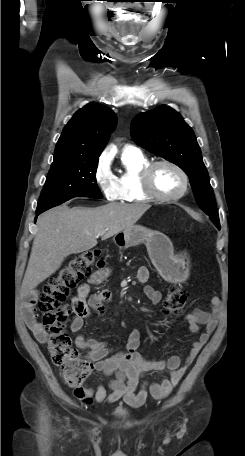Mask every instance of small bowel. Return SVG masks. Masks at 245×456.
Returning a JSON list of instances; mask_svg holds the SVG:
<instances>
[{
    "mask_svg": "<svg viewBox=\"0 0 245 456\" xmlns=\"http://www.w3.org/2000/svg\"><path fill=\"white\" fill-rule=\"evenodd\" d=\"M109 272L107 267H100L86 283L78 287L72 302L74 316L69 324L72 332L76 333L82 329L85 319L89 317L92 311L100 314L104 312L105 304L111 300L110 291L101 289L92 293L91 289L93 286L102 283L108 277ZM148 278V269L146 267L139 268L137 271L138 281L145 283ZM143 291L153 304L161 302L162 293L152 286L146 285ZM36 301L37 294H30L24 303L22 315L35 338L39 342L45 343L47 334L35 315ZM220 313L221 301L219 297L214 296L210 300L209 312L194 310L186 314L185 320L190 332L198 333L201 325L204 326V330L200 333L199 338L192 343L183 364L179 356H171L168 360L162 361L144 358L137 351L140 344V333L136 329L129 331L124 349L112 355H110L111 350L106 342L86 338L83 334L77 335L75 338L76 346L87 352L88 358L95 364V369L105 375L113 376V378L108 383L110 393H107L106 386L102 384L95 389L83 385L74 390L75 396L85 404H91L93 401L113 403L123 399L132 407L142 406L148 396L155 400L164 399L177 386L187 368L194 362L203 346L208 342L217 326ZM164 371L168 373V378H164L160 382H144L139 385L140 378L144 374Z\"/></svg>",
    "mask_w": 245,
    "mask_h": 456,
    "instance_id": "1",
    "label": "small bowel"
}]
</instances>
